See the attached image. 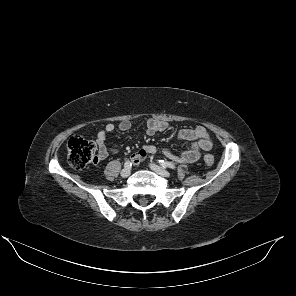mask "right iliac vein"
<instances>
[{"instance_id":"1","label":"right iliac vein","mask_w":296,"mask_h":296,"mask_svg":"<svg viewBox=\"0 0 296 296\" xmlns=\"http://www.w3.org/2000/svg\"><path fill=\"white\" fill-rule=\"evenodd\" d=\"M130 175V169L129 168H124L122 171H121V176L126 178Z\"/></svg>"}]
</instances>
